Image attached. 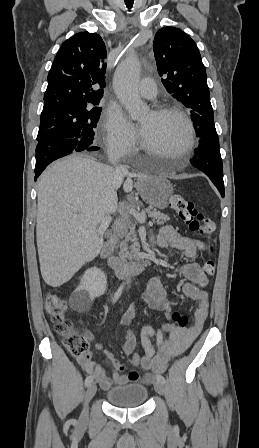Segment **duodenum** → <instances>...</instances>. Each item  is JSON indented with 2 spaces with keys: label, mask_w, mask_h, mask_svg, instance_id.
Returning a JSON list of instances; mask_svg holds the SVG:
<instances>
[{
  "label": "duodenum",
  "mask_w": 259,
  "mask_h": 448,
  "mask_svg": "<svg viewBox=\"0 0 259 448\" xmlns=\"http://www.w3.org/2000/svg\"><path fill=\"white\" fill-rule=\"evenodd\" d=\"M116 244V238H109L103 246L101 257L106 260L109 268L115 275L122 280L132 278L140 274L146 267V261L139 259L131 263H123L120 260L111 256Z\"/></svg>",
  "instance_id": "1"
}]
</instances>
